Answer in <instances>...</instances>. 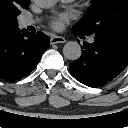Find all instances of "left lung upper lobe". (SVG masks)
Instances as JSON below:
<instances>
[{
  "label": "left lung upper lobe",
  "instance_id": "obj_1",
  "mask_svg": "<svg viewBox=\"0 0 128 128\" xmlns=\"http://www.w3.org/2000/svg\"><path fill=\"white\" fill-rule=\"evenodd\" d=\"M93 5L74 29L95 36L128 35V0H92Z\"/></svg>",
  "mask_w": 128,
  "mask_h": 128
}]
</instances>
